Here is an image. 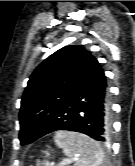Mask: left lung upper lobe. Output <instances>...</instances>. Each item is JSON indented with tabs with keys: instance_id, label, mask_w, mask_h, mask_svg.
Listing matches in <instances>:
<instances>
[{
	"instance_id": "5c2ea615",
	"label": "left lung upper lobe",
	"mask_w": 135,
	"mask_h": 166,
	"mask_svg": "<svg viewBox=\"0 0 135 166\" xmlns=\"http://www.w3.org/2000/svg\"><path fill=\"white\" fill-rule=\"evenodd\" d=\"M93 56L83 46H66L45 59L32 73L21 100L20 126L47 124L66 106L84 67Z\"/></svg>"
}]
</instances>
